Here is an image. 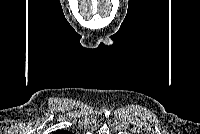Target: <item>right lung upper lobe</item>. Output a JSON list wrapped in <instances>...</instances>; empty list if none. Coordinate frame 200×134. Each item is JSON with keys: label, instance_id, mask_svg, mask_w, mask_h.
Returning a JSON list of instances; mask_svg holds the SVG:
<instances>
[{"label": "right lung upper lobe", "instance_id": "obj_1", "mask_svg": "<svg viewBox=\"0 0 200 134\" xmlns=\"http://www.w3.org/2000/svg\"><path fill=\"white\" fill-rule=\"evenodd\" d=\"M59 132H60V131H59ZM60 133H66V132L62 131V132H60Z\"/></svg>", "mask_w": 200, "mask_h": 134}]
</instances>
